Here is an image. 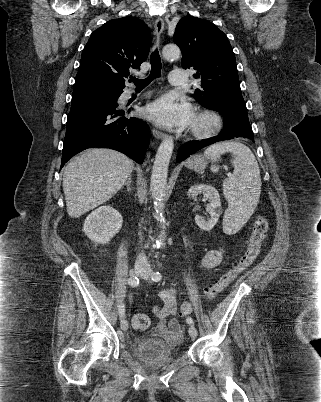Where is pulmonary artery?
Segmentation results:
<instances>
[{"label": "pulmonary artery", "mask_w": 321, "mask_h": 402, "mask_svg": "<svg viewBox=\"0 0 321 402\" xmlns=\"http://www.w3.org/2000/svg\"><path fill=\"white\" fill-rule=\"evenodd\" d=\"M169 83L172 86H182L186 83L184 71L181 69L173 70L169 74Z\"/></svg>", "instance_id": "obj_1"}]
</instances>
